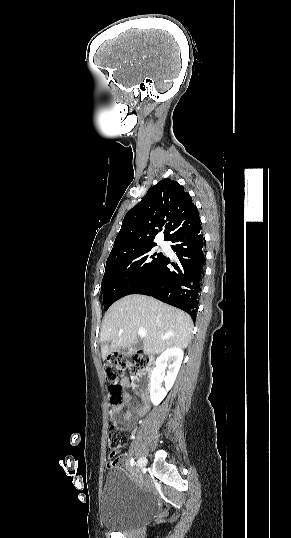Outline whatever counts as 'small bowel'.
I'll return each mask as SVG.
<instances>
[{
  "label": "small bowel",
  "instance_id": "small-bowel-1",
  "mask_svg": "<svg viewBox=\"0 0 291 538\" xmlns=\"http://www.w3.org/2000/svg\"><path fill=\"white\" fill-rule=\"evenodd\" d=\"M121 386V400L112 405L111 408V418L115 421L122 420L125 423L130 422L133 415L142 416L144 415L148 408L147 398L141 397V403L135 402L131 395L126 391V389L135 387V382L130 381L128 378H123L120 381ZM119 465H126L128 463V456L126 454H121L118 456Z\"/></svg>",
  "mask_w": 291,
  "mask_h": 538
}]
</instances>
